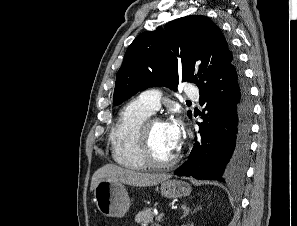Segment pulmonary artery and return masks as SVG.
<instances>
[{"label":"pulmonary artery","mask_w":297,"mask_h":226,"mask_svg":"<svg viewBox=\"0 0 297 226\" xmlns=\"http://www.w3.org/2000/svg\"><path fill=\"white\" fill-rule=\"evenodd\" d=\"M186 95L191 99L199 97V90L197 87L189 86L186 90ZM161 93L157 89H148L140 93L138 99L150 111L154 112L159 107Z\"/></svg>","instance_id":"1"}]
</instances>
